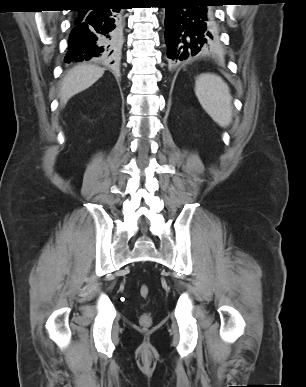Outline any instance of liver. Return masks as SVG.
I'll use <instances>...</instances> for the list:
<instances>
[{
  "mask_svg": "<svg viewBox=\"0 0 306 387\" xmlns=\"http://www.w3.org/2000/svg\"><path fill=\"white\" fill-rule=\"evenodd\" d=\"M103 74L104 69L95 65L81 64L73 67L61 84V105H65L71 97L91 87Z\"/></svg>",
  "mask_w": 306,
  "mask_h": 387,
  "instance_id": "obj_1",
  "label": "liver"
}]
</instances>
